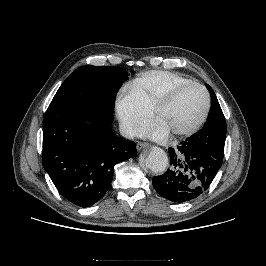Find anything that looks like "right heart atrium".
Segmentation results:
<instances>
[{"label": "right heart atrium", "instance_id": "right-heart-atrium-1", "mask_svg": "<svg viewBox=\"0 0 266 266\" xmlns=\"http://www.w3.org/2000/svg\"><path fill=\"white\" fill-rule=\"evenodd\" d=\"M121 128L127 136H134L152 117V111L129 88L119 93L115 103Z\"/></svg>", "mask_w": 266, "mask_h": 266}]
</instances>
